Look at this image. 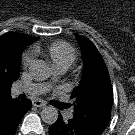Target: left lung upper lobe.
I'll return each instance as SVG.
<instances>
[{"label":"left lung upper lobe","mask_w":135,"mask_h":135,"mask_svg":"<svg viewBox=\"0 0 135 135\" xmlns=\"http://www.w3.org/2000/svg\"><path fill=\"white\" fill-rule=\"evenodd\" d=\"M76 38L81 45L84 72L80 85L71 95L75 101L74 117L106 127L113 103L108 70L95 45L87 37Z\"/></svg>","instance_id":"left-lung-upper-lobe-1"}]
</instances>
